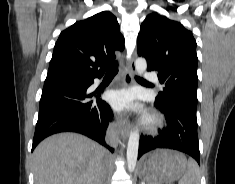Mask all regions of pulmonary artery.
Listing matches in <instances>:
<instances>
[{
  "label": "pulmonary artery",
  "mask_w": 235,
  "mask_h": 184,
  "mask_svg": "<svg viewBox=\"0 0 235 184\" xmlns=\"http://www.w3.org/2000/svg\"><path fill=\"white\" fill-rule=\"evenodd\" d=\"M147 76H148L151 80H156V79H157L156 76H155V74H153V73H148ZM99 84H100V82H96V83H95L96 86L99 85Z\"/></svg>",
  "instance_id": "pulmonary-artery-1"
}]
</instances>
